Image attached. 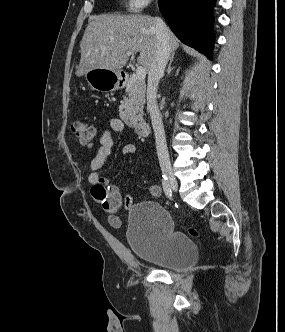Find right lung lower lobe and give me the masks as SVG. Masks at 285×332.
Segmentation results:
<instances>
[{
	"instance_id": "obj_1",
	"label": "right lung lower lobe",
	"mask_w": 285,
	"mask_h": 332,
	"mask_svg": "<svg viewBox=\"0 0 285 332\" xmlns=\"http://www.w3.org/2000/svg\"><path fill=\"white\" fill-rule=\"evenodd\" d=\"M158 3L175 35L211 58L214 42L211 10L215 0H158Z\"/></svg>"
}]
</instances>
